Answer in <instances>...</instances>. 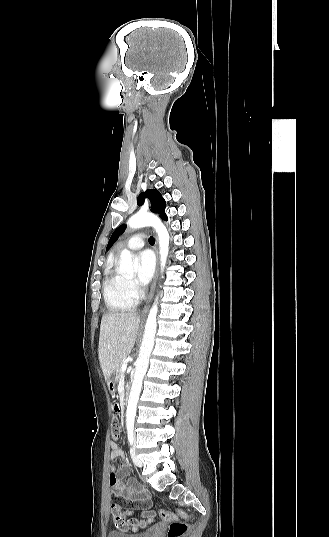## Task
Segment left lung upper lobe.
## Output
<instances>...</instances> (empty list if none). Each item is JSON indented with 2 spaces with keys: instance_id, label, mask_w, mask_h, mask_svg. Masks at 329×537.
<instances>
[{
  "instance_id": "obj_1",
  "label": "left lung upper lobe",
  "mask_w": 329,
  "mask_h": 537,
  "mask_svg": "<svg viewBox=\"0 0 329 537\" xmlns=\"http://www.w3.org/2000/svg\"><path fill=\"white\" fill-rule=\"evenodd\" d=\"M146 197L150 200L151 211L160 214L163 219L167 220V216L165 214L166 203L160 192L156 189L146 190V192H143L138 196V205H142ZM124 228L125 225H122L113 232L108 242L107 250L114 244Z\"/></svg>"
}]
</instances>
